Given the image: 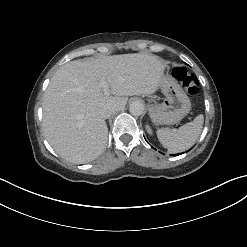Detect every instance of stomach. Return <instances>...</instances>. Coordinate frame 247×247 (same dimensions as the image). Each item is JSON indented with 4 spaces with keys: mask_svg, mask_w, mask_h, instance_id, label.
I'll use <instances>...</instances> for the list:
<instances>
[{
    "mask_svg": "<svg viewBox=\"0 0 247 247\" xmlns=\"http://www.w3.org/2000/svg\"><path fill=\"white\" fill-rule=\"evenodd\" d=\"M159 87L165 95L162 103L149 105V114L154 124H176L191 110L188 95L169 73H164Z\"/></svg>",
    "mask_w": 247,
    "mask_h": 247,
    "instance_id": "obj_1",
    "label": "stomach"
}]
</instances>
